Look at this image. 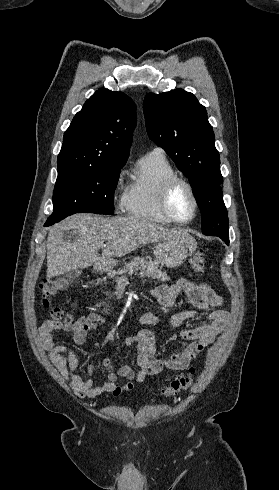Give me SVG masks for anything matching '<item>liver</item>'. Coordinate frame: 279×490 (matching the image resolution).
Instances as JSON below:
<instances>
[{"label": "liver", "instance_id": "6515ba94", "mask_svg": "<svg viewBox=\"0 0 279 490\" xmlns=\"http://www.w3.org/2000/svg\"><path fill=\"white\" fill-rule=\"evenodd\" d=\"M64 230H78L79 240L65 242ZM184 238L195 250L197 242L183 228H162L146 218H99L94 214H75L51 228L47 238V278L60 276L71 270L93 266L106 272L105 262L121 258L149 242H165ZM102 250L100 256L98 250Z\"/></svg>", "mask_w": 279, "mask_h": 490}]
</instances>
